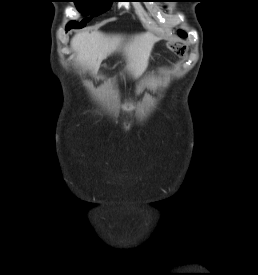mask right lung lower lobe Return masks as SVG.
Here are the masks:
<instances>
[{"label": "right lung lower lobe", "mask_w": 258, "mask_h": 275, "mask_svg": "<svg viewBox=\"0 0 258 275\" xmlns=\"http://www.w3.org/2000/svg\"><path fill=\"white\" fill-rule=\"evenodd\" d=\"M70 29H72V28H70V27H66V30H70Z\"/></svg>", "instance_id": "98d812e1"}]
</instances>
